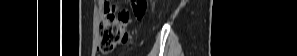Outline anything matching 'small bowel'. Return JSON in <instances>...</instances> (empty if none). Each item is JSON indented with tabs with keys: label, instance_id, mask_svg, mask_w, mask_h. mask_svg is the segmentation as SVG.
<instances>
[{
	"label": "small bowel",
	"instance_id": "obj_1",
	"mask_svg": "<svg viewBox=\"0 0 297 56\" xmlns=\"http://www.w3.org/2000/svg\"><path fill=\"white\" fill-rule=\"evenodd\" d=\"M128 38H131V33H121V36H119V45H128Z\"/></svg>",
	"mask_w": 297,
	"mask_h": 56
}]
</instances>
